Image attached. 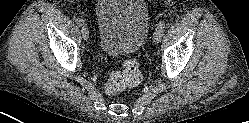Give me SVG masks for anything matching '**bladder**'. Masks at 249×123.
Here are the masks:
<instances>
[{
  "label": "bladder",
  "instance_id": "obj_1",
  "mask_svg": "<svg viewBox=\"0 0 249 123\" xmlns=\"http://www.w3.org/2000/svg\"><path fill=\"white\" fill-rule=\"evenodd\" d=\"M95 18L99 47L109 56L134 53L149 32V13L144 0H99Z\"/></svg>",
  "mask_w": 249,
  "mask_h": 123
}]
</instances>
